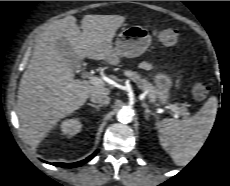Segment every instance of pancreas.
I'll return each mask as SVG.
<instances>
[{"instance_id":"pancreas-1","label":"pancreas","mask_w":230,"mask_h":186,"mask_svg":"<svg viewBox=\"0 0 230 186\" xmlns=\"http://www.w3.org/2000/svg\"><path fill=\"white\" fill-rule=\"evenodd\" d=\"M124 75L130 78L132 81L136 82L143 91H147L148 96L151 99L157 98V89L147 80V78H142L140 74L131 70H125ZM179 114L184 117H188L190 115L185 107L179 108Z\"/></svg>"}]
</instances>
